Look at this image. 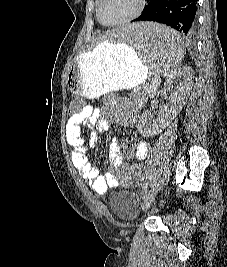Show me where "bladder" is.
Masks as SVG:
<instances>
[{
    "mask_svg": "<svg viewBox=\"0 0 227 267\" xmlns=\"http://www.w3.org/2000/svg\"><path fill=\"white\" fill-rule=\"evenodd\" d=\"M110 207L118 218L126 219L138 213L136 197L131 192L119 191L110 199Z\"/></svg>",
    "mask_w": 227,
    "mask_h": 267,
    "instance_id": "obj_1",
    "label": "bladder"
}]
</instances>
